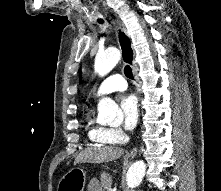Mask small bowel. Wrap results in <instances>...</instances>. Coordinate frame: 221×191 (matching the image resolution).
Instances as JSON below:
<instances>
[{"instance_id":"1","label":"small bowel","mask_w":221,"mask_h":191,"mask_svg":"<svg viewBox=\"0 0 221 191\" xmlns=\"http://www.w3.org/2000/svg\"><path fill=\"white\" fill-rule=\"evenodd\" d=\"M87 191H103L97 179H91L87 186Z\"/></svg>"}]
</instances>
